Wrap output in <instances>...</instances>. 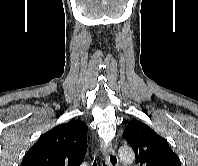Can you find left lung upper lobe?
I'll use <instances>...</instances> for the list:
<instances>
[{
    "label": "left lung upper lobe",
    "mask_w": 198,
    "mask_h": 166,
    "mask_svg": "<svg viewBox=\"0 0 198 166\" xmlns=\"http://www.w3.org/2000/svg\"><path fill=\"white\" fill-rule=\"evenodd\" d=\"M123 137L134 150L138 166H181L167 140L146 124L140 121L129 122Z\"/></svg>",
    "instance_id": "left-lung-upper-lobe-1"
}]
</instances>
